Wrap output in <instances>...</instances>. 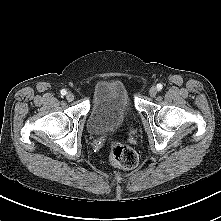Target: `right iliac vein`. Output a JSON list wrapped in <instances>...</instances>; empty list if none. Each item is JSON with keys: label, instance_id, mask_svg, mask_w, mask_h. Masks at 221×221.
<instances>
[{"label": "right iliac vein", "instance_id": "right-iliac-vein-1", "mask_svg": "<svg viewBox=\"0 0 221 221\" xmlns=\"http://www.w3.org/2000/svg\"><path fill=\"white\" fill-rule=\"evenodd\" d=\"M66 99H67L68 101H72V100L74 99L73 93H72V92H68V93L66 94Z\"/></svg>", "mask_w": 221, "mask_h": 221}]
</instances>
